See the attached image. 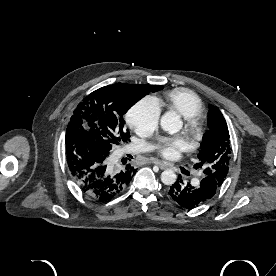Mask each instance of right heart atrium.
<instances>
[{
	"instance_id": "d8ad5b80",
	"label": "right heart atrium",
	"mask_w": 276,
	"mask_h": 276,
	"mask_svg": "<svg viewBox=\"0 0 276 276\" xmlns=\"http://www.w3.org/2000/svg\"><path fill=\"white\" fill-rule=\"evenodd\" d=\"M160 113L158 103L150 98H145L129 109L126 120L137 134L149 136L158 128Z\"/></svg>"
}]
</instances>
